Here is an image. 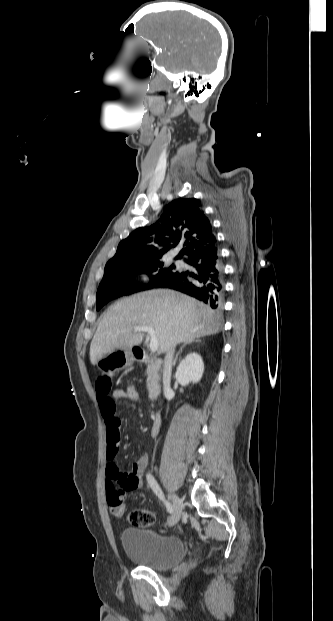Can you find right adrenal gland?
I'll return each mask as SVG.
<instances>
[{
  "mask_svg": "<svg viewBox=\"0 0 333 621\" xmlns=\"http://www.w3.org/2000/svg\"><path fill=\"white\" fill-rule=\"evenodd\" d=\"M193 342H197V343H199V342H201V341H200L199 339H196V340H190V341L186 342L185 344H183V346L180 348V350H179V351L177 352V354L175 355V358H174V361H173V366H175V365H176V362H177L178 356H179V354L182 352L183 348H184L185 346H187L188 344H192Z\"/></svg>",
  "mask_w": 333,
  "mask_h": 621,
  "instance_id": "obj_1",
  "label": "right adrenal gland"
}]
</instances>
